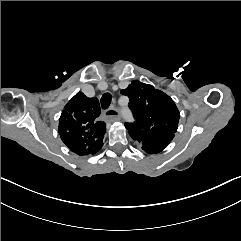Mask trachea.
Here are the masks:
<instances>
[{"instance_id":"trachea-1","label":"trachea","mask_w":241,"mask_h":241,"mask_svg":"<svg viewBox=\"0 0 241 241\" xmlns=\"http://www.w3.org/2000/svg\"><path fill=\"white\" fill-rule=\"evenodd\" d=\"M112 102V95L110 93H104L101 97V106L103 109H107Z\"/></svg>"}]
</instances>
